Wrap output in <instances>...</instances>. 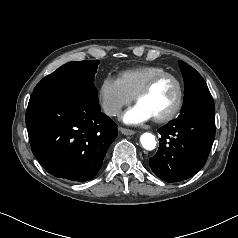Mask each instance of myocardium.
<instances>
[{
    "mask_svg": "<svg viewBox=\"0 0 238 238\" xmlns=\"http://www.w3.org/2000/svg\"><path fill=\"white\" fill-rule=\"evenodd\" d=\"M164 78L173 80L177 86V99L173 108L165 115L154 117L153 120L158 123H165L173 120L180 112L184 100V86L182 81L174 74L164 72L150 78L135 94L134 101L138 103L139 99L149 93L156 83Z\"/></svg>",
    "mask_w": 238,
    "mask_h": 238,
    "instance_id": "f54148a6",
    "label": "myocardium"
}]
</instances>
